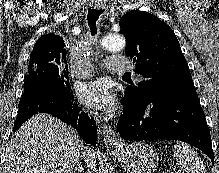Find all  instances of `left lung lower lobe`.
Here are the masks:
<instances>
[{
  "label": "left lung lower lobe",
  "mask_w": 219,
  "mask_h": 173,
  "mask_svg": "<svg viewBox=\"0 0 219 173\" xmlns=\"http://www.w3.org/2000/svg\"><path fill=\"white\" fill-rule=\"evenodd\" d=\"M117 130L125 140H180L202 150L214 163L210 131L197 93L143 102L123 97Z\"/></svg>",
  "instance_id": "0a47b994"
}]
</instances>
